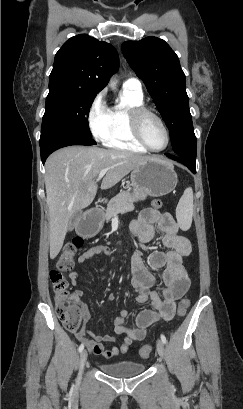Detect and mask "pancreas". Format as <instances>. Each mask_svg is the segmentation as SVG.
<instances>
[{"label": "pancreas", "mask_w": 243, "mask_h": 409, "mask_svg": "<svg viewBox=\"0 0 243 409\" xmlns=\"http://www.w3.org/2000/svg\"><path fill=\"white\" fill-rule=\"evenodd\" d=\"M137 201V196L129 191H123L112 198L105 211L107 222L118 213H126L134 210V202Z\"/></svg>", "instance_id": "obj_1"}]
</instances>
